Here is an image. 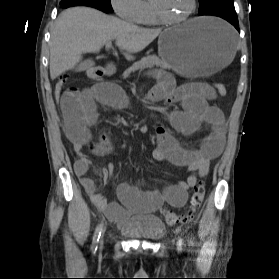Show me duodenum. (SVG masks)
Instances as JSON below:
<instances>
[{
	"label": "duodenum",
	"mask_w": 279,
	"mask_h": 279,
	"mask_svg": "<svg viewBox=\"0 0 279 279\" xmlns=\"http://www.w3.org/2000/svg\"><path fill=\"white\" fill-rule=\"evenodd\" d=\"M105 74L104 68L102 66H97L91 69L90 75L93 78H101Z\"/></svg>",
	"instance_id": "duodenum-1"
}]
</instances>
